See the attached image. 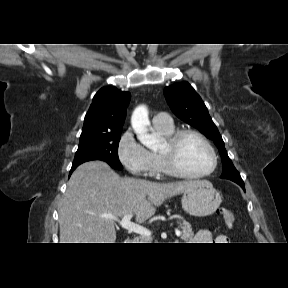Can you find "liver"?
<instances>
[{
	"label": "liver",
	"mask_w": 288,
	"mask_h": 288,
	"mask_svg": "<svg viewBox=\"0 0 288 288\" xmlns=\"http://www.w3.org/2000/svg\"><path fill=\"white\" fill-rule=\"evenodd\" d=\"M200 182L121 178L105 162L83 163L72 173L59 206L60 243H114L115 222L106 216L133 213L143 223L167 198Z\"/></svg>",
	"instance_id": "1"
}]
</instances>
